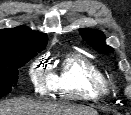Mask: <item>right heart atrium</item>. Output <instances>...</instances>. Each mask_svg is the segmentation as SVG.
I'll list each match as a JSON object with an SVG mask.
<instances>
[{
	"label": "right heart atrium",
	"mask_w": 131,
	"mask_h": 115,
	"mask_svg": "<svg viewBox=\"0 0 131 115\" xmlns=\"http://www.w3.org/2000/svg\"><path fill=\"white\" fill-rule=\"evenodd\" d=\"M28 75L33 87L40 94H46L53 88V74L44 68L40 60H35L30 64Z\"/></svg>",
	"instance_id": "right-heart-atrium-1"
}]
</instances>
